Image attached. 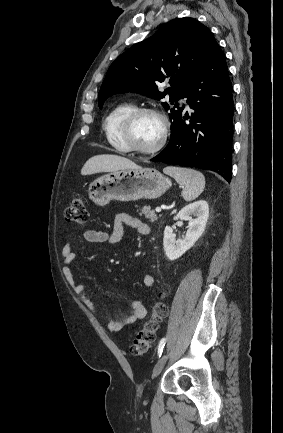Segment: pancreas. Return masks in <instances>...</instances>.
Wrapping results in <instances>:
<instances>
[{
  "label": "pancreas",
  "mask_w": 283,
  "mask_h": 433,
  "mask_svg": "<svg viewBox=\"0 0 283 433\" xmlns=\"http://www.w3.org/2000/svg\"><path fill=\"white\" fill-rule=\"evenodd\" d=\"M140 210L141 212H138L140 217H146V219H150V223L157 221V214H155V210H151V206H143V208H140Z\"/></svg>",
  "instance_id": "1"
}]
</instances>
